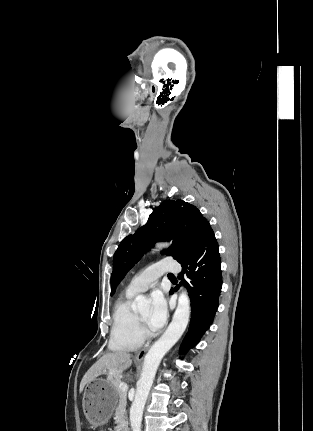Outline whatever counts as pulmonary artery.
<instances>
[{"mask_svg":"<svg viewBox=\"0 0 313 431\" xmlns=\"http://www.w3.org/2000/svg\"><path fill=\"white\" fill-rule=\"evenodd\" d=\"M181 270L180 264L172 258L158 261L139 273L127 286L126 293L135 295L147 291L164 273H177Z\"/></svg>","mask_w":313,"mask_h":431,"instance_id":"pulmonary-artery-1","label":"pulmonary artery"}]
</instances>
